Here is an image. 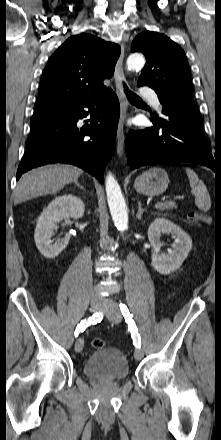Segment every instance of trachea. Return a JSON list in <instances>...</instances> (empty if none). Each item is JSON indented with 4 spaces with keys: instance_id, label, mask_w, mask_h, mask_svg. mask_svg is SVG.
<instances>
[{
    "instance_id": "3493384b",
    "label": "trachea",
    "mask_w": 221,
    "mask_h": 440,
    "mask_svg": "<svg viewBox=\"0 0 221 440\" xmlns=\"http://www.w3.org/2000/svg\"><path fill=\"white\" fill-rule=\"evenodd\" d=\"M123 87H124V92L130 102H142V99L133 92H131L125 83H123Z\"/></svg>"
}]
</instances>
